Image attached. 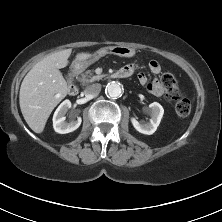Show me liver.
I'll use <instances>...</instances> for the list:
<instances>
[{"instance_id":"liver-1","label":"liver","mask_w":222,"mask_h":222,"mask_svg":"<svg viewBox=\"0 0 222 222\" xmlns=\"http://www.w3.org/2000/svg\"><path fill=\"white\" fill-rule=\"evenodd\" d=\"M71 49L49 54L36 63L24 77L19 93L22 115L35 132L44 130L53 109L68 94L69 88L59 69L68 65ZM89 53H79L76 58L88 59Z\"/></svg>"}]
</instances>
